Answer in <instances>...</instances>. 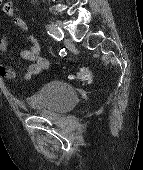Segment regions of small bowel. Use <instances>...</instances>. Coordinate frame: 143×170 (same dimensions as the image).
I'll return each instance as SVG.
<instances>
[{"instance_id":"small-bowel-1","label":"small bowel","mask_w":143,"mask_h":170,"mask_svg":"<svg viewBox=\"0 0 143 170\" xmlns=\"http://www.w3.org/2000/svg\"><path fill=\"white\" fill-rule=\"evenodd\" d=\"M1 11L6 16H14V5L12 2L0 1ZM13 24L22 31L27 30L26 22L20 17L13 18ZM31 45L29 48L20 51V57L30 62V65L25 73V79H31L33 76L40 74L48 68V62L42 57L40 44L34 38H30ZM9 40L7 37L0 39V53L8 49ZM0 76L6 79H13L15 72L13 69L6 67L0 63Z\"/></svg>"}]
</instances>
